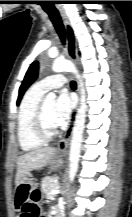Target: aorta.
<instances>
[{
  "label": "aorta",
  "instance_id": "762f6f07",
  "mask_svg": "<svg viewBox=\"0 0 132 217\" xmlns=\"http://www.w3.org/2000/svg\"><path fill=\"white\" fill-rule=\"evenodd\" d=\"M53 72H70L76 76V78L79 80V86H80V107L77 111L75 123L72 131V139H71V145H70V152H69V177L70 179H73L76 172H77V166H78V160L80 156V148L82 143V137H83V130H84V124H85V118H86V95H85V88H84V82L81 79V76L79 75L76 67L74 64L67 60H55L52 65ZM56 99V94L53 92H50L47 94L45 102L47 103H54Z\"/></svg>",
  "mask_w": 132,
  "mask_h": 217
}]
</instances>
